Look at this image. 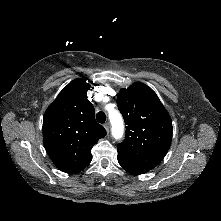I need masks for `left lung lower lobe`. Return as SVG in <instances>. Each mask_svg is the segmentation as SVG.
Here are the masks:
<instances>
[{
    "instance_id": "obj_1",
    "label": "left lung lower lobe",
    "mask_w": 221,
    "mask_h": 221,
    "mask_svg": "<svg viewBox=\"0 0 221 221\" xmlns=\"http://www.w3.org/2000/svg\"><path fill=\"white\" fill-rule=\"evenodd\" d=\"M118 162L121 165L123 169H125L128 173L132 175H139L146 173L150 169L145 168L144 166L124 157L123 155H120L118 153Z\"/></svg>"
}]
</instances>
